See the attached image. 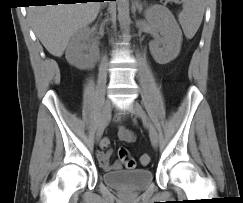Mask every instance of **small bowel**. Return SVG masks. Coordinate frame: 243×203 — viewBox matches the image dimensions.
Listing matches in <instances>:
<instances>
[{
	"instance_id": "obj_1",
	"label": "small bowel",
	"mask_w": 243,
	"mask_h": 203,
	"mask_svg": "<svg viewBox=\"0 0 243 203\" xmlns=\"http://www.w3.org/2000/svg\"><path fill=\"white\" fill-rule=\"evenodd\" d=\"M117 134H118V138L121 141L126 143H131L135 139L134 134L124 126H118ZM100 148L101 151L97 153V159L101 168H103L105 171L121 169L120 161H116L112 164L109 162L110 156L112 154V150L110 149V140L107 137L101 140Z\"/></svg>"
}]
</instances>
